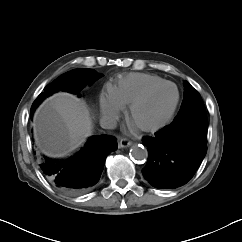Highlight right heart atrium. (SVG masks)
I'll return each mask as SVG.
<instances>
[{
    "label": "right heart atrium",
    "instance_id": "1",
    "mask_svg": "<svg viewBox=\"0 0 242 242\" xmlns=\"http://www.w3.org/2000/svg\"><path fill=\"white\" fill-rule=\"evenodd\" d=\"M99 107L102 120L109 124L112 123L124 109V106L115 98L111 91L100 94Z\"/></svg>",
    "mask_w": 242,
    "mask_h": 242
}]
</instances>
